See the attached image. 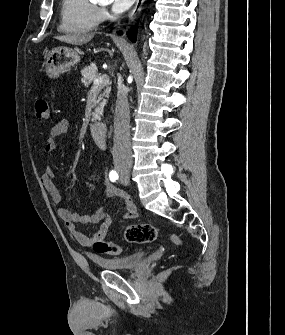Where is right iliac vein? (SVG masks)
Masks as SVG:
<instances>
[{"label":"right iliac vein","instance_id":"right-iliac-vein-1","mask_svg":"<svg viewBox=\"0 0 285 335\" xmlns=\"http://www.w3.org/2000/svg\"><path fill=\"white\" fill-rule=\"evenodd\" d=\"M121 175L123 177H129L130 176V171L129 170H123L122 173H121Z\"/></svg>","mask_w":285,"mask_h":335}]
</instances>
